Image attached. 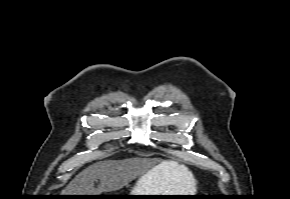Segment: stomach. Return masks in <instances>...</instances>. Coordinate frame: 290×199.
<instances>
[{
    "instance_id": "obj_1",
    "label": "stomach",
    "mask_w": 290,
    "mask_h": 199,
    "mask_svg": "<svg viewBox=\"0 0 290 199\" xmlns=\"http://www.w3.org/2000/svg\"><path fill=\"white\" fill-rule=\"evenodd\" d=\"M169 193L170 191L166 189L165 183L158 176V168L155 167L140 177L129 195H173ZM130 198L142 199L144 196H132Z\"/></svg>"
}]
</instances>
